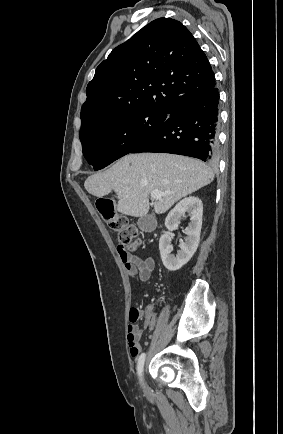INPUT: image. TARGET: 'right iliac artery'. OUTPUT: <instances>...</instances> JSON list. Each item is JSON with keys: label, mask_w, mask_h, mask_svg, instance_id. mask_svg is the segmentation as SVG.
<instances>
[{"label": "right iliac artery", "mask_w": 283, "mask_h": 434, "mask_svg": "<svg viewBox=\"0 0 283 434\" xmlns=\"http://www.w3.org/2000/svg\"><path fill=\"white\" fill-rule=\"evenodd\" d=\"M145 357H146V354L142 353L138 358L137 371H138V375H139L141 380H142Z\"/></svg>", "instance_id": "obj_1"}]
</instances>
